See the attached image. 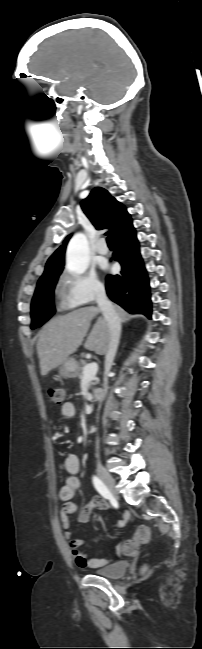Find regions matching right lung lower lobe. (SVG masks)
<instances>
[{
  "mask_svg": "<svg viewBox=\"0 0 202 649\" xmlns=\"http://www.w3.org/2000/svg\"><path fill=\"white\" fill-rule=\"evenodd\" d=\"M113 259L121 264L119 275H108V297L129 313H141L151 318L150 288L147 272L140 255L135 229L114 239Z\"/></svg>",
  "mask_w": 202,
  "mask_h": 649,
  "instance_id": "right-lung-lower-lobe-1",
  "label": "right lung lower lobe"
}]
</instances>
